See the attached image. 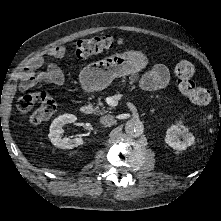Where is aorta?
<instances>
[{"mask_svg": "<svg viewBox=\"0 0 221 221\" xmlns=\"http://www.w3.org/2000/svg\"><path fill=\"white\" fill-rule=\"evenodd\" d=\"M144 125L138 119L128 120L125 124V132L132 137H139L143 134Z\"/></svg>", "mask_w": 221, "mask_h": 221, "instance_id": "762f6f07", "label": "aorta"}]
</instances>
